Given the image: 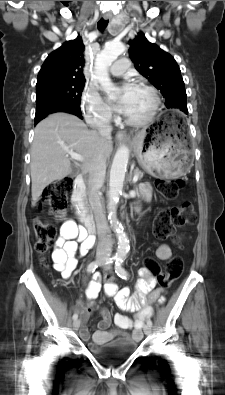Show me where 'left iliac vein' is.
<instances>
[{
    "label": "left iliac vein",
    "mask_w": 225,
    "mask_h": 395,
    "mask_svg": "<svg viewBox=\"0 0 225 395\" xmlns=\"http://www.w3.org/2000/svg\"><path fill=\"white\" fill-rule=\"evenodd\" d=\"M103 268L105 270H110V266L109 265H104ZM143 330H144V333L146 335H150L151 331H152L151 326H149L148 324L144 326Z\"/></svg>",
    "instance_id": "obj_1"
}]
</instances>
